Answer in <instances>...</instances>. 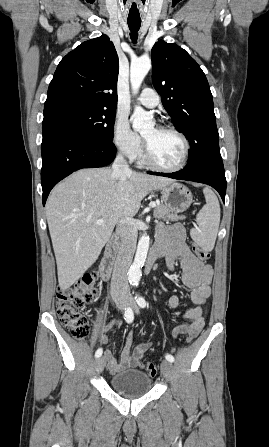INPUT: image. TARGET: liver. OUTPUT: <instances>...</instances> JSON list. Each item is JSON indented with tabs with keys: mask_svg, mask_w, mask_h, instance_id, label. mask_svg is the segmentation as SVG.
<instances>
[{
	"mask_svg": "<svg viewBox=\"0 0 269 447\" xmlns=\"http://www.w3.org/2000/svg\"><path fill=\"white\" fill-rule=\"evenodd\" d=\"M173 182L138 172L115 180L109 168H92L79 170L55 186L47 200L46 218L60 289L70 287L98 259L120 218L135 216L148 192Z\"/></svg>",
	"mask_w": 269,
	"mask_h": 447,
	"instance_id": "1",
	"label": "liver"
}]
</instances>
